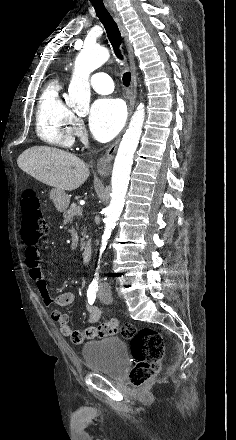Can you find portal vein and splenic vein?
Instances as JSON below:
<instances>
[{"label": "portal vein and splenic vein", "mask_w": 236, "mask_h": 440, "mask_svg": "<svg viewBox=\"0 0 236 440\" xmlns=\"http://www.w3.org/2000/svg\"><path fill=\"white\" fill-rule=\"evenodd\" d=\"M77 213L81 214V213H82V208H79V209L77 210Z\"/></svg>", "instance_id": "obj_1"}]
</instances>
